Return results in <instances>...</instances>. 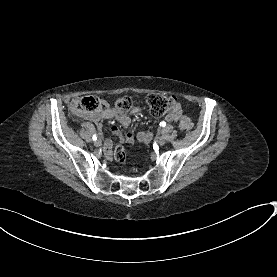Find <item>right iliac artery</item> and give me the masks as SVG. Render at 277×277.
<instances>
[{
	"instance_id": "right-iliac-artery-1",
	"label": "right iliac artery",
	"mask_w": 277,
	"mask_h": 277,
	"mask_svg": "<svg viewBox=\"0 0 277 277\" xmlns=\"http://www.w3.org/2000/svg\"><path fill=\"white\" fill-rule=\"evenodd\" d=\"M93 140L94 141L97 140V135L96 134L93 135Z\"/></svg>"
}]
</instances>
